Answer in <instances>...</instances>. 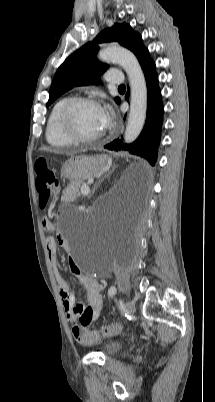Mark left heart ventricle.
Listing matches in <instances>:
<instances>
[{"mask_svg": "<svg viewBox=\"0 0 215 402\" xmlns=\"http://www.w3.org/2000/svg\"><path fill=\"white\" fill-rule=\"evenodd\" d=\"M76 130L84 136H92L103 132L101 108L91 104L80 105L74 112Z\"/></svg>", "mask_w": 215, "mask_h": 402, "instance_id": "left-heart-ventricle-1", "label": "left heart ventricle"}]
</instances>
